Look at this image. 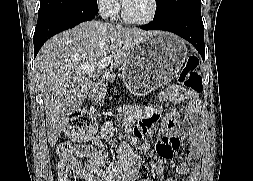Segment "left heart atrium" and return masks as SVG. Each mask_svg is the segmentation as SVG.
Here are the masks:
<instances>
[{
    "label": "left heart atrium",
    "mask_w": 253,
    "mask_h": 181,
    "mask_svg": "<svg viewBox=\"0 0 253 181\" xmlns=\"http://www.w3.org/2000/svg\"><path fill=\"white\" fill-rule=\"evenodd\" d=\"M126 0H122V2L124 3Z\"/></svg>",
    "instance_id": "39dd6f15"
}]
</instances>
